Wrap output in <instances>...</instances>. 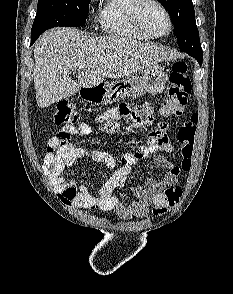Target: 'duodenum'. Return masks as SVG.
<instances>
[{
    "label": "duodenum",
    "instance_id": "obj_1",
    "mask_svg": "<svg viewBox=\"0 0 233 294\" xmlns=\"http://www.w3.org/2000/svg\"><path fill=\"white\" fill-rule=\"evenodd\" d=\"M100 92H101V88L99 86H97V87H94V88L86 89L84 91V94L86 96H92V95L99 94Z\"/></svg>",
    "mask_w": 233,
    "mask_h": 294
}]
</instances>
